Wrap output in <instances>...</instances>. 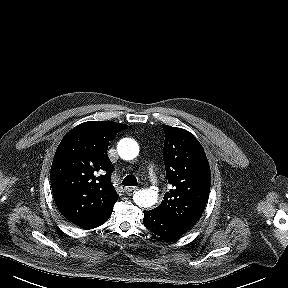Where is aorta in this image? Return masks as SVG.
<instances>
[{
    "label": "aorta",
    "mask_w": 288,
    "mask_h": 288,
    "mask_svg": "<svg viewBox=\"0 0 288 288\" xmlns=\"http://www.w3.org/2000/svg\"><path fill=\"white\" fill-rule=\"evenodd\" d=\"M119 156L124 160H132L139 154L138 143L131 138H123L117 146ZM134 202L143 208L153 206L158 200V193L152 188L142 189L133 195Z\"/></svg>",
    "instance_id": "1"
}]
</instances>
